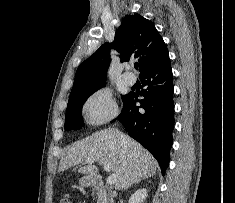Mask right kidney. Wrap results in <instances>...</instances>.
<instances>
[{
  "label": "right kidney",
  "mask_w": 235,
  "mask_h": 203,
  "mask_svg": "<svg viewBox=\"0 0 235 203\" xmlns=\"http://www.w3.org/2000/svg\"><path fill=\"white\" fill-rule=\"evenodd\" d=\"M147 197V190L145 188L137 190L132 196L129 198L128 203H143Z\"/></svg>",
  "instance_id": "1"
}]
</instances>
